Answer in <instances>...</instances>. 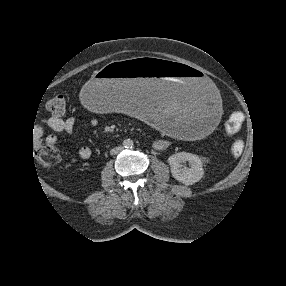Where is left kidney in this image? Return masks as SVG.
Instances as JSON below:
<instances>
[{"mask_svg":"<svg viewBox=\"0 0 286 286\" xmlns=\"http://www.w3.org/2000/svg\"><path fill=\"white\" fill-rule=\"evenodd\" d=\"M189 163V168L185 163ZM172 176L185 185H192L204 175L201 159L191 153L179 152L168 158Z\"/></svg>","mask_w":286,"mask_h":286,"instance_id":"1","label":"left kidney"}]
</instances>
